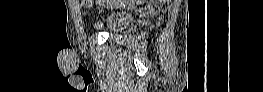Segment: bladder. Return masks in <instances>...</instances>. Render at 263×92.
<instances>
[{"mask_svg":"<svg viewBox=\"0 0 263 92\" xmlns=\"http://www.w3.org/2000/svg\"><path fill=\"white\" fill-rule=\"evenodd\" d=\"M131 15L117 11L112 13L107 19V28L111 33H115L125 28L131 21Z\"/></svg>","mask_w":263,"mask_h":92,"instance_id":"obj_1","label":"bladder"}]
</instances>
